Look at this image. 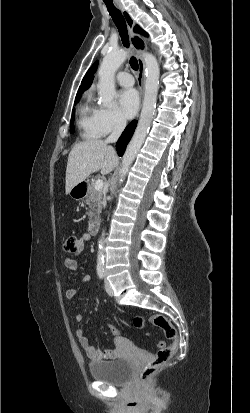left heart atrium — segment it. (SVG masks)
Instances as JSON below:
<instances>
[{"mask_svg":"<svg viewBox=\"0 0 250 413\" xmlns=\"http://www.w3.org/2000/svg\"><path fill=\"white\" fill-rule=\"evenodd\" d=\"M119 104L127 118L136 115L139 109V97L134 89L123 90L119 95Z\"/></svg>","mask_w":250,"mask_h":413,"instance_id":"39dd6f15","label":"left heart atrium"}]
</instances>
